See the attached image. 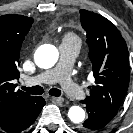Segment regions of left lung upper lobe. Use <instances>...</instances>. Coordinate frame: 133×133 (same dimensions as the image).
Segmentation results:
<instances>
[{"mask_svg":"<svg viewBox=\"0 0 133 133\" xmlns=\"http://www.w3.org/2000/svg\"><path fill=\"white\" fill-rule=\"evenodd\" d=\"M81 24L86 31L89 59L95 84L86 102L119 110L126 95L130 71L128 49L118 29L99 14L80 11Z\"/></svg>","mask_w":133,"mask_h":133,"instance_id":"left-lung-upper-lobe-1","label":"left lung upper lobe"}]
</instances>
